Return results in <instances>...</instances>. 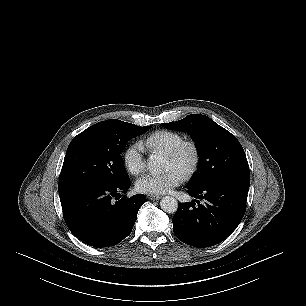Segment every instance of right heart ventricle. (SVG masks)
<instances>
[{
  "instance_id": "e07e8e85",
  "label": "right heart ventricle",
  "mask_w": 306,
  "mask_h": 306,
  "mask_svg": "<svg viewBox=\"0 0 306 306\" xmlns=\"http://www.w3.org/2000/svg\"><path fill=\"white\" fill-rule=\"evenodd\" d=\"M183 141V136L178 132L158 130L143 139L141 145L151 151H160L167 154Z\"/></svg>"
}]
</instances>
